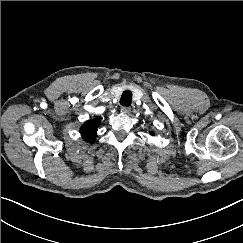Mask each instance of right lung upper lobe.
I'll return each mask as SVG.
<instances>
[{
  "label": "right lung upper lobe",
  "mask_w": 243,
  "mask_h": 243,
  "mask_svg": "<svg viewBox=\"0 0 243 243\" xmlns=\"http://www.w3.org/2000/svg\"><path fill=\"white\" fill-rule=\"evenodd\" d=\"M99 124L100 120L96 118L93 120H89L82 125L80 133L85 141L93 143L97 136V128Z\"/></svg>",
  "instance_id": "obj_1"
}]
</instances>
